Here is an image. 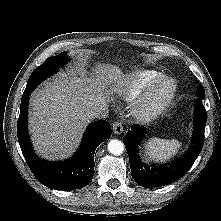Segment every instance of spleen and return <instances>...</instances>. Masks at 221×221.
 <instances>
[{"instance_id": "spleen-1", "label": "spleen", "mask_w": 221, "mask_h": 221, "mask_svg": "<svg viewBox=\"0 0 221 221\" xmlns=\"http://www.w3.org/2000/svg\"><path fill=\"white\" fill-rule=\"evenodd\" d=\"M180 147L181 143L176 139L151 138L145 143V153L155 161L166 162L178 152Z\"/></svg>"}]
</instances>
